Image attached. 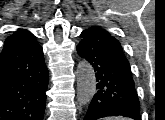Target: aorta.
I'll list each match as a JSON object with an SVG mask.
<instances>
[{
    "instance_id": "762f6f07",
    "label": "aorta",
    "mask_w": 165,
    "mask_h": 120,
    "mask_svg": "<svg viewBox=\"0 0 165 120\" xmlns=\"http://www.w3.org/2000/svg\"><path fill=\"white\" fill-rule=\"evenodd\" d=\"M96 91V76L93 67L81 60L77 66V100L80 104L90 103Z\"/></svg>"
}]
</instances>
